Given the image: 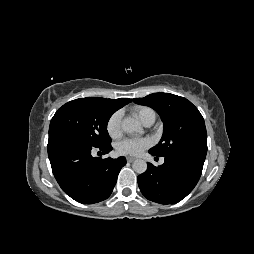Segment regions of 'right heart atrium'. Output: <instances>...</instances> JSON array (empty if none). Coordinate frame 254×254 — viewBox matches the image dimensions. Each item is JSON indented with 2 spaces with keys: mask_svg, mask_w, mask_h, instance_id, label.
Masks as SVG:
<instances>
[{
  "mask_svg": "<svg viewBox=\"0 0 254 254\" xmlns=\"http://www.w3.org/2000/svg\"><path fill=\"white\" fill-rule=\"evenodd\" d=\"M106 130L110 137L118 138L121 134V113H113L107 120Z\"/></svg>",
  "mask_w": 254,
  "mask_h": 254,
  "instance_id": "1",
  "label": "right heart atrium"
}]
</instances>
